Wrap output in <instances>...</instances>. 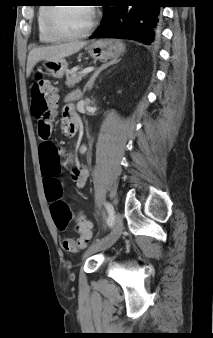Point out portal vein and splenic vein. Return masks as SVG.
I'll return each mask as SVG.
<instances>
[{
  "label": "portal vein and splenic vein",
  "instance_id": "obj_1",
  "mask_svg": "<svg viewBox=\"0 0 213 338\" xmlns=\"http://www.w3.org/2000/svg\"><path fill=\"white\" fill-rule=\"evenodd\" d=\"M94 69H95L94 67H87V68L82 70V73L87 74V73L92 72Z\"/></svg>",
  "mask_w": 213,
  "mask_h": 338
}]
</instances>
